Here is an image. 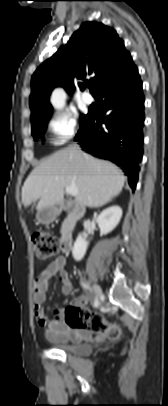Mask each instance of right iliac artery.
Wrapping results in <instances>:
<instances>
[{
    "label": "right iliac artery",
    "instance_id": "right-iliac-artery-1",
    "mask_svg": "<svg viewBox=\"0 0 168 406\" xmlns=\"http://www.w3.org/2000/svg\"><path fill=\"white\" fill-rule=\"evenodd\" d=\"M82 284V286L85 288V289H89L90 290V287H89V285L87 284V283H81ZM97 304V300H95L94 301V305H96Z\"/></svg>",
    "mask_w": 168,
    "mask_h": 406
}]
</instances>
